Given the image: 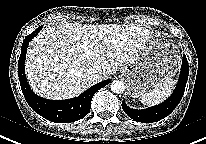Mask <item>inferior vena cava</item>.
<instances>
[{
	"label": "inferior vena cava",
	"instance_id": "inferior-vena-cava-1",
	"mask_svg": "<svg viewBox=\"0 0 206 144\" xmlns=\"http://www.w3.org/2000/svg\"><path fill=\"white\" fill-rule=\"evenodd\" d=\"M86 73L95 82L102 78V70L99 67H90L86 70Z\"/></svg>",
	"mask_w": 206,
	"mask_h": 144
}]
</instances>
